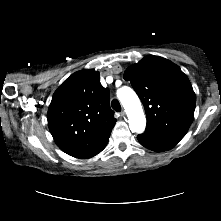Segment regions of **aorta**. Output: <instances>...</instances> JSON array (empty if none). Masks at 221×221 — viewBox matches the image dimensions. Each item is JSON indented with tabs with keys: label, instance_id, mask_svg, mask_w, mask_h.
Returning a JSON list of instances; mask_svg holds the SVG:
<instances>
[{
	"label": "aorta",
	"instance_id": "obj_1",
	"mask_svg": "<svg viewBox=\"0 0 221 221\" xmlns=\"http://www.w3.org/2000/svg\"><path fill=\"white\" fill-rule=\"evenodd\" d=\"M117 96L126 110L130 130L142 133L146 127V118L136 93L130 87H122L118 90Z\"/></svg>",
	"mask_w": 221,
	"mask_h": 221
}]
</instances>
